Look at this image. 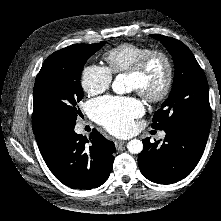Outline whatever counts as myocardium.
Segmentation results:
<instances>
[{
	"label": "myocardium",
	"instance_id": "f54148a6",
	"mask_svg": "<svg viewBox=\"0 0 221 221\" xmlns=\"http://www.w3.org/2000/svg\"><path fill=\"white\" fill-rule=\"evenodd\" d=\"M156 60H161L164 65V77L160 88L155 92H147L143 88H138V92L148 101L158 102L164 100L170 93L173 80L174 68L169 56L162 50L149 49L146 51L135 65L127 72L131 77H142Z\"/></svg>",
	"mask_w": 221,
	"mask_h": 221
}]
</instances>
